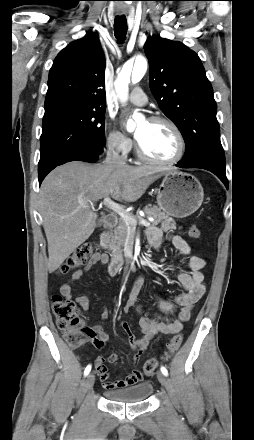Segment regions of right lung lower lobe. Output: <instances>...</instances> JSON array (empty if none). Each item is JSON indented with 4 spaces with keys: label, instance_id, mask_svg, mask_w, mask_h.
I'll return each instance as SVG.
<instances>
[{
    "label": "right lung lower lobe",
    "instance_id": "1",
    "mask_svg": "<svg viewBox=\"0 0 254 440\" xmlns=\"http://www.w3.org/2000/svg\"><path fill=\"white\" fill-rule=\"evenodd\" d=\"M102 155V152L100 153H92L91 155H86V154H82V153H78V154H73L68 156L67 158H65L64 160L60 161L57 164H54L52 166H50L44 173H42L41 175H38L39 178V184H41V182L43 181V179L45 178V176L51 171L53 170L55 167L62 165L66 162L69 161H85V162H96L100 156Z\"/></svg>",
    "mask_w": 254,
    "mask_h": 440
}]
</instances>
